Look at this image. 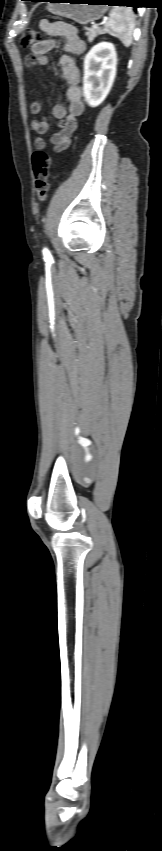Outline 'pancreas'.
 Wrapping results in <instances>:
<instances>
[{"mask_svg": "<svg viewBox=\"0 0 162 851\" xmlns=\"http://www.w3.org/2000/svg\"><path fill=\"white\" fill-rule=\"evenodd\" d=\"M86 36L89 42H92L98 35L104 34V29L100 27L86 29Z\"/></svg>", "mask_w": 162, "mask_h": 851, "instance_id": "1", "label": "pancreas"}]
</instances>
